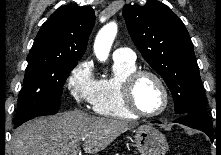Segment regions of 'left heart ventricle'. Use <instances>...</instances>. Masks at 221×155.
I'll use <instances>...</instances> for the list:
<instances>
[{"label":"left heart ventricle","mask_w":221,"mask_h":155,"mask_svg":"<svg viewBox=\"0 0 221 155\" xmlns=\"http://www.w3.org/2000/svg\"><path fill=\"white\" fill-rule=\"evenodd\" d=\"M136 103L144 112H156L163 103L164 96L158 83L151 77H143L135 89Z\"/></svg>","instance_id":"left-heart-ventricle-1"}]
</instances>
